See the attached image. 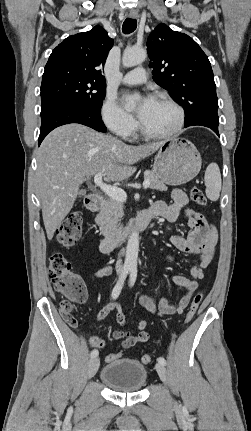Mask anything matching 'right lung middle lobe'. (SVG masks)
I'll return each mask as SVG.
<instances>
[{
    "instance_id": "right-lung-middle-lobe-1",
    "label": "right lung middle lobe",
    "mask_w": 251,
    "mask_h": 431,
    "mask_svg": "<svg viewBox=\"0 0 251 431\" xmlns=\"http://www.w3.org/2000/svg\"><path fill=\"white\" fill-rule=\"evenodd\" d=\"M106 84L66 67L45 69L41 84V108L57 102L100 112Z\"/></svg>"
}]
</instances>
